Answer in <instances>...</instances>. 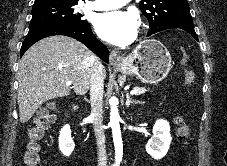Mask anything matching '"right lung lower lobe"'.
I'll use <instances>...</instances> for the list:
<instances>
[{
  "label": "right lung lower lobe",
  "mask_w": 227,
  "mask_h": 166,
  "mask_svg": "<svg viewBox=\"0 0 227 166\" xmlns=\"http://www.w3.org/2000/svg\"><path fill=\"white\" fill-rule=\"evenodd\" d=\"M53 35L72 37L86 45L105 62L109 61V54L106 46L94 36L90 25H48L37 30L29 31L21 47V56L37 41Z\"/></svg>",
  "instance_id": "1"
}]
</instances>
